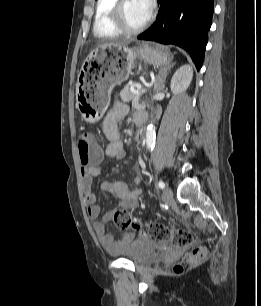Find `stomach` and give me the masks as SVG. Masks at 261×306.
Wrapping results in <instances>:
<instances>
[{
    "mask_svg": "<svg viewBox=\"0 0 261 306\" xmlns=\"http://www.w3.org/2000/svg\"><path fill=\"white\" fill-rule=\"evenodd\" d=\"M161 66L169 62V52L143 42L137 47H100L86 58L84 75L77 84V106L82 117L97 122L105 113L116 85L128 79L135 60Z\"/></svg>",
    "mask_w": 261,
    "mask_h": 306,
    "instance_id": "obj_1",
    "label": "stomach"
}]
</instances>
